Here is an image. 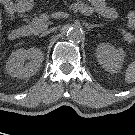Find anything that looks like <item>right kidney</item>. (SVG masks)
<instances>
[{
    "label": "right kidney",
    "mask_w": 135,
    "mask_h": 135,
    "mask_svg": "<svg viewBox=\"0 0 135 135\" xmlns=\"http://www.w3.org/2000/svg\"><path fill=\"white\" fill-rule=\"evenodd\" d=\"M43 57L42 51L38 48L19 49L10 56L6 63L7 73L17 78L31 77L40 69Z\"/></svg>",
    "instance_id": "right-kidney-1"
}]
</instances>
